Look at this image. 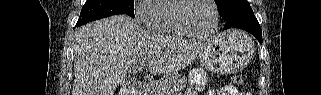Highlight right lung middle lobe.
Returning a JSON list of instances; mask_svg holds the SVG:
<instances>
[{"instance_id":"obj_1","label":"right lung middle lobe","mask_w":321,"mask_h":95,"mask_svg":"<svg viewBox=\"0 0 321 95\" xmlns=\"http://www.w3.org/2000/svg\"><path fill=\"white\" fill-rule=\"evenodd\" d=\"M117 14L134 17V0H87L76 25Z\"/></svg>"}]
</instances>
